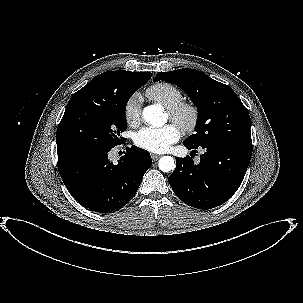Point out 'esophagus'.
Listing matches in <instances>:
<instances>
[{
  "label": "esophagus",
  "instance_id": "esophagus-1",
  "mask_svg": "<svg viewBox=\"0 0 303 303\" xmlns=\"http://www.w3.org/2000/svg\"><path fill=\"white\" fill-rule=\"evenodd\" d=\"M151 157H152L153 161H156V160H158L161 156L158 155V154H152Z\"/></svg>",
  "mask_w": 303,
  "mask_h": 303
}]
</instances>
